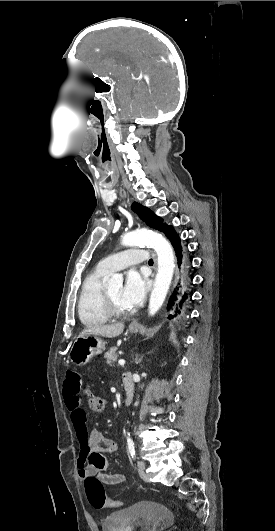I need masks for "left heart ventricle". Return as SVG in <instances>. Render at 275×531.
<instances>
[{
    "mask_svg": "<svg viewBox=\"0 0 275 531\" xmlns=\"http://www.w3.org/2000/svg\"><path fill=\"white\" fill-rule=\"evenodd\" d=\"M105 289L110 293L117 309L120 311H127L130 309L121 300V284L107 286Z\"/></svg>",
    "mask_w": 275,
    "mask_h": 531,
    "instance_id": "obj_1",
    "label": "left heart ventricle"
}]
</instances>
